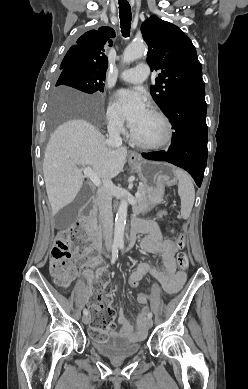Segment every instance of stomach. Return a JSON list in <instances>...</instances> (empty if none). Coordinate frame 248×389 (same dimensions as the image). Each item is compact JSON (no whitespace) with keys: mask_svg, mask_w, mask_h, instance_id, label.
<instances>
[{"mask_svg":"<svg viewBox=\"0 0 248 389\" xmlns=\"http://www.w3.org/2000/svg\"><path fill=\"white\" fill-rule=\"evenodd\" d=\"M131 165L144 184L143 189L147 191V199L151 205L159 203L164 196L165 187L176 182L178 171L173 164L140 159L131 161Z\"/></svg>","mask_w":248,"mask_h":389,"instance_id":"obj_1","label":"stomach"}]
</instances>
